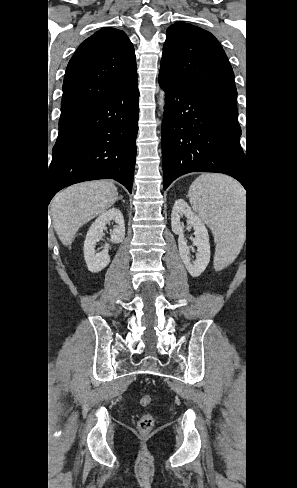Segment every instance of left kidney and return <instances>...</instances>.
I'll use <instances>...</instances> for the list:
<instances>
[{
  "label": "left kidney",
  "mask_w": 297,
  "mask_h": 488,
  "mask_svg": "<svg viewBox=\"0 0 297 488\" xmlns=\"http://www.w3.org/2000/svg\"><path fill=\"white\" fill-rule=\"evenodd\" d=\"M187 217L189 225L195 230L193 244L197 247L196 259H190V247L187 246L184 238L183 225L180 222L182 216ZM172 231L178 235V247L181 259L191 276H199L207 267L210 261L209 234L202 220L197 216L183 199H178L172 208L171 214Z\"/></svg>",
  "instance_id": "5707ae66"
}]
</instances>
